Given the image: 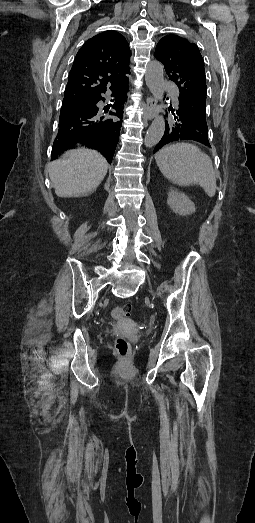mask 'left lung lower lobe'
I'll use <instances>...</instances> for the list:
<instances>
[{
    "label": "left lung lower lobe",
    "mask_w": 255,
    "mask_h": 523,
    "mask_svg": "<svg viewBox=\"0 0 255 523\" xmlns=\"http://www.w3.org/2000/svg\"><path fill=\"white\" fill-rule=\"evenodd\" d=\"M184 112L186 111L176 107L170 111V116L164 118L165 137L156 140V147L162 149L165 145L170 146L177 140H201L196 141V144H201L210 150L212 145L209 141L211 134H207L208 126L201 121L194 120L195 115H184ZM154 152H158V149H154Z\"/></svg>",
    "instance_id": "obj_1"
}]
</instances>
